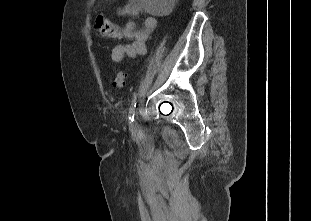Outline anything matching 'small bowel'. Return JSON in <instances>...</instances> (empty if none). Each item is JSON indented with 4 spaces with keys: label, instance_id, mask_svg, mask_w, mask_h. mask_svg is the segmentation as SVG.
<instances>
[{
    "label": "small bowel",
    "instance_id": "c3829d8e",
    "mask_svg": "<svg viewBox=\"0 0 311 221\" xmlns=\"http://www.w3.org/2000/svg\"><path fill=\"white\" fill-rule=\"evenodd\" d=\"M143 11L140 0H129L128 3L119 10V14L136 17ZM157 27V20L153 16H147L142 28L138 29L133 20L129 21L122 29V36L130 40L116 45L111 52V59L118 63L125 56L136 57L147 52L146 41L149 35Z\"/></svg>",
    "mask_w": 311,
    "mask_h": 221
}]
</instances>
